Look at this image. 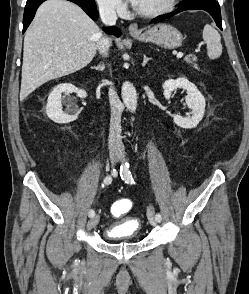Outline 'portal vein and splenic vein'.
I'll use <instances>...</instances> for the list:
<instances>
[{
    "label": "portal vein and splenic vein",
    "instance_id": "obj_1",
    "mask_svg": "<svg viewBox=\"0 0 249 294\" xmlns=\"http://www.w3.org/2000/svg\"><path fill=\"white\" fill-rule=\"evenodd\" d=\"M184 56V53L180 52L177 54V58H182Z\"/></svg>",
    "mask_w": 249,
    "mask_h": 294
}]
</instances>
